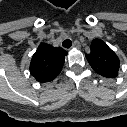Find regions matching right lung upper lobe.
Listing matches in <instances>:
<instances>
[{"mask_svg":"<svg viewBox=\"0 0 127 127\" xmlns=\"http://www.w3.org/2000/svg\"><path fill=\"white\" fill-rule=\"evenodd\" d=\"M66 54L67 52L60 47L41 44L32 57L30 73L39 82L51 81L61 71Z\"/></svg>","mask_w":127,"mask_h":127,"instance_id":"1","label":"right lung upper lobe"}]
</instances>
